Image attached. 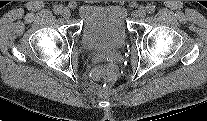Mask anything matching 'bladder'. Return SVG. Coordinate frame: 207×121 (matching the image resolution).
<instances>
[{"instance_id":"31cf9c89","label":"bladder","mask_w":207,"mask_h":121,"mask_svg":"<svg viewBox=\"0 0 207 121\" xmlns=\"http://www.w3.org/2000/svg\"><path fill=\"white\" fill-rule=\"evenodd\" d=\"M81 41L88 50L122 47L127 39V9L120 3L83 4Z\"/></svg>"}]
</instances>
